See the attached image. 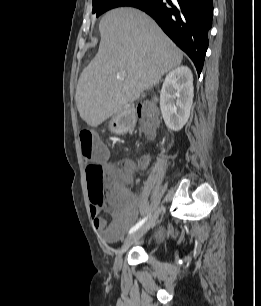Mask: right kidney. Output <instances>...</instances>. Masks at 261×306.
<instances>
[{
	"label": "right kidney",
	"instance_id": "right-kidney-1",
	"mask_svg": "<svg viewBox=\"0 0 261 306\" xmlns=\"http://www.w3.org/2000/svg\"><path fill=\"white\" fill-rule=\"evenodd\" d=\"M193 75L186 66L169 72L160 92V109L166 126L179 131L190 116L193 103Z\"/></svg>",
	"mask_w": 261,
	"mask_h": 306
}]
</instances>
